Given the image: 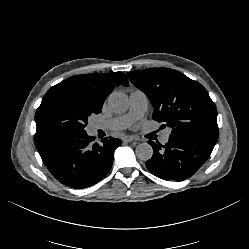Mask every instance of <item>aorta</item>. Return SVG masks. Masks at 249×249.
Masks as SVG:
<instances>
[{
	"label": "aorta",
	"mask_w": 249,
	"mask_h": 249,
	"mask_svg": "<svg viewBox=\"0 0 249 249\" xmlns=\"http://www.w3.org/2000/svg\"><path fill=\"white\" fill-rule=\"evenodd\" d=\"M128 97L123 92H114L108 98V107L114 113H123L128 109ZM139 160L147 161L153 155V149L148 143H141L136 147Z\"/></svg>",
	"instance_id": "aorta-1"
}]
</instances>
